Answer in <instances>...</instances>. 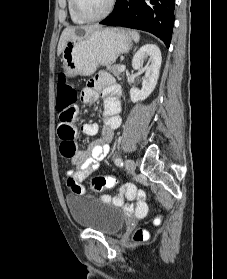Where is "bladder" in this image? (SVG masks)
<instances>
[{
  "mask_svg": "<svg viewBox=\"0 0 227 279\" xmlns=\"http://www.w3.org/2000/svg\"><path fill=\"white\" fill-rule=\"evenodd\" d=\"M66 201L73 221L79 227L111 235L124 225V216L116 205L103 202L90 194H69Z\"/></svg>",
  "mask_w": 227,
  "mask_h": 279,
  "instance_id": "bladder-1",
  "label": "bladder"
}]
</instances>
